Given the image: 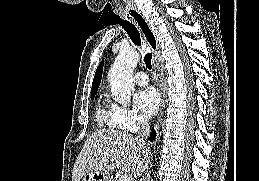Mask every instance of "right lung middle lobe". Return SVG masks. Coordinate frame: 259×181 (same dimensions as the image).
Listing matches in <instances>:
<instances>
[{
  "label": "right lung middle lobe",
  "instance_id": "right-lung-middle-lobe-1",
  "mask_svg": "<svg viewBox=\"0 0 259 181\" xmlns=\"http://www.w3.org/2000/svg\"><path fill=\"white\" fill-rule=\"evenodd\" d=\"M93 99H94V96L91 97V100H93Z\"/></svg>",
  "mask_w": 259,
  "mask_h": 181
}]
</instances>
